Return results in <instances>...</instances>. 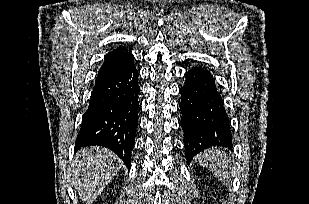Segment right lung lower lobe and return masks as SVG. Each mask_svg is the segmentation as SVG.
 I'll use <instances>...</instances> for the list:
<instances>
[{"label": "right lung lower lobe", "mask_w": 309, "mask_h": 204, "mask_svg": "<svg viewBox=\"0 0 309 204\" xmlns=\"http://www.w3.org/2000/svg\"><path fill=\"white\" fill-rule=\"evenodd\" d=\"M138 76L133 64L96 81L77 135L76 151L85 146H102L130 168L138 125Z\"/></svg>", "instance_id": "right-lung-lower-lobe-1"}]
</instances>
